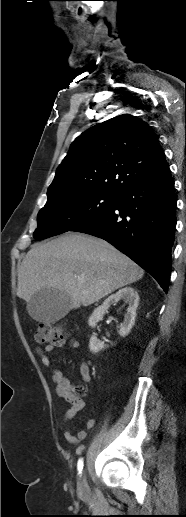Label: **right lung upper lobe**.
<instances>
[{"label": "right lung upper lobe", "mask_w": 186, "mask_h": 517, "mask_svg": "<svg viewBox=\"0 0 186 517\" xmlns=\"http://www.w3.org/2000/svg\"><path fill=\"white\" fill-rule=\"evenodd\" d=\"M167 169L151 127L135 116L120 115L75 139L57 168L47 197L50 200L84 192L120 195Z\"/></svg>", "instance_id": "1"}]
</instances>
